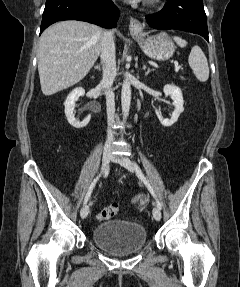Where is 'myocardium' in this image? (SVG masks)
<instances>
[{
    "label": "myocardium",
    "instance_id": "obj_1",
    "mask_svg": "<svg viewBox=\"0 0 240 287\" xmlns=\"http://www.w3.org/2000/svg\"><path fill=\"white\" fill-rule=\"evenodd\" d=\"M150 3H154V2H156V1H158V0H148Z\"/></svg>",
    "mask_w": 240,
    "mask_h": 287
}]
</instances>
